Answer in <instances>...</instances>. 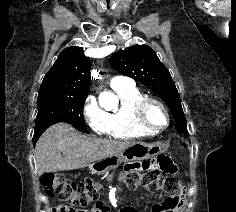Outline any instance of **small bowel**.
Listing matches in <instances>:
<instances>
[{
    "instance_id": "obj_1",
    "label": "small bowel",
    "mask_w": 236,
    "mask_h": 212,
    "mask_svg": "<svg viewBox=\"0 0 236 212\" xmlns=\"http://www.w3.org/2000/svg\"><path fill=\"white\" fill-rule=\"evenodd\" d=\"M128 190H136V185H128ZM96 204L98 205H90V209H84L83 212H131L130 209H124V205H105L109 204V199H96ZM182 205L179 197H168L156 205L153 212H180Z\"/></svg>"
}]
</instances>
